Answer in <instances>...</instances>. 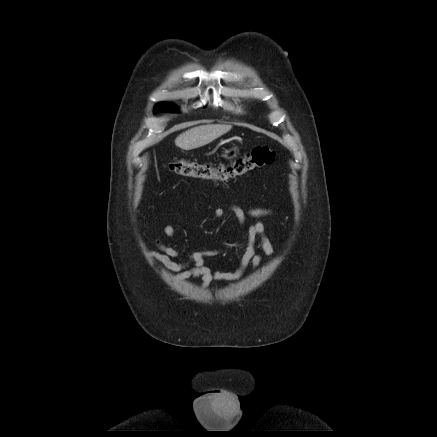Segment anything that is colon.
Wrapping results in <instances>:
<instances>
[{
    "label": "colon",
    "instance_id": "1",
    "mask_svg": "<svg viewBox=\"0 0 437 437\" xmlns=\"http://www.w3.org/2000/svg\"><path fill=\"white\" fill-rule=\"evenodd\" d=\"M276 153L268 146H255L243 156L229 162H192L174 160L168 169L180 176L204 180H228L263 168L274 162Z\"/></svg>",
    "mask_w": 437,
    "mask_h": 437
}]
</instances>
